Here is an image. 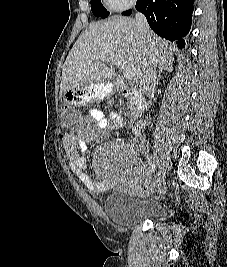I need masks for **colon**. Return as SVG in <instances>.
Returning <instances> with one entry per match:
<instances>
[{
  "label": "colon",
  "mask_w": 227,
  "mask_h": 267,
  "mask_svg": "<svg viewBox=\"0 0 227 267\" xmlns=\"http://www.w3.org/2000/svg\"><path fill=\"white\" fill-rule=\"evenodd\" d=\"M71 105H76V104H66L63 107L61 113V122L64 127L72 125L76 119H83V114H75L71 109Z\"/></svg>",
  "instance_id": "5ec220e1"
}]
</instances>
